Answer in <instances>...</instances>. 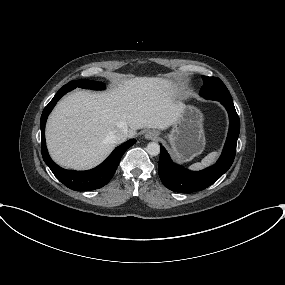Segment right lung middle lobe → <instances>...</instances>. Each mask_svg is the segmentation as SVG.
Here are the masks:
<instances>
[{
  "mask_svg": "<svg viewBox=\"0 0 285 285\" xmlns=\"http://www.w3.org/2000/svg\"><path fill=\"white\" fill-rule=\"evenodd\" d=\"M64 87H70L71 89H74L76 87L93 89V90L105 89V85L103 83L97 82V81H91V80H87V79L70 81L68 84L64 85Z\"/></svg>",
  "mask_w": 285,
  "mask_h": 285,
  "instance_id": "dd1d6c3e",
  "label": "right lung middle lobe"
}]
</instances>
